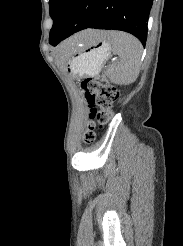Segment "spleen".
I'll use <instances>...</instances> for the list:
<instances>
[{
    "label": "spleen",
    "mask_w": 183,
    "mask_h": 246,
    "mask_svg": "<svg viewBox=\"0 0 183 246\" xmlns=\"http://www.w3.org/2000/svg\"><path fill=\"white\" fill-rule=\"evenodd\" d=\"M105 37L112 44V51L120 57V63L110 80L115 83L130 84L140 72L143 47L134 36L121 31L106 32Z\"/></svg>",
    "instance_id": "obj_1"
}]
</instances>
